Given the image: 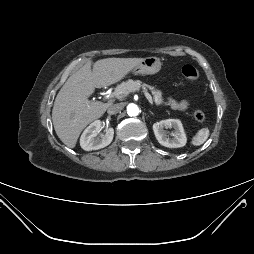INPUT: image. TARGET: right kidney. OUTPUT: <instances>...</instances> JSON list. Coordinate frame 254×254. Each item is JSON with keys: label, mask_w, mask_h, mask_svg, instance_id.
Listing matches in <instances>:
<instances>
[{"label": "right kidney", "mask_w": 254, "mask_h": 254, "mask_svg": "<svg viewBox=\"0 0 254 254\" xmlns=\"http://www.w3.org/2000/svg\"><path fill=\"white\" fill-rule=\"evenodd\" d=\"M101 129L102 122L100 120L92 122L80 137L81 148L85 151H92L108 146L113 140L114 129L106 128L105 134L102 137H97Z\"/></svg>", "instance_id": "obj_1"}]
</instances>
